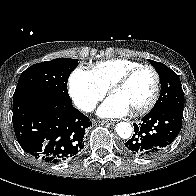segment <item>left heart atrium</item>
I'll use <instances>...</instances> for the list:
<instances>
[{
	"label": "left heart atrium",
	"mask_w": 196,
	"mask_h": 196,
	"mask_svg": "<svg viewBox=\"0 0 196 196\" xmlns=\"http://www.w3.org/2000/svg\"><path fill=\"white\" fill-rule=\"evenodd\" d=\"M130 112V108L111 95L108 97L98 109V114L102 117H122Z\"/></svg>",
	"instance_id": "left-heart-atrium-1"
}]
</instances>
